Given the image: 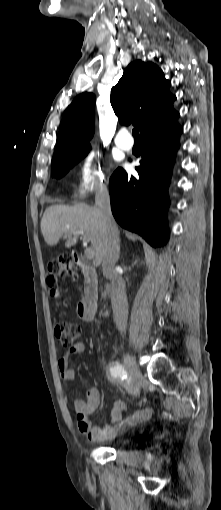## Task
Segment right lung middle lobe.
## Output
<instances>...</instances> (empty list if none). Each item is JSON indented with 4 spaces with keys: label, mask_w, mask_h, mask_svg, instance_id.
<instances>
[{
    "label": "right lung middle lobe",
    "mask_w": 221,
    "mask_h": 510,
    "mask_svg": "<svg viewBox=\"0 0 221 510\" xmlns=\"http://www.w3.org/2000/svg\"><path fill=\"white\" fill-rule=\"evenodd\" d=\"M90 151V146L72 149L52 159V176L57 178L65 175L71 167L77 164Z\"/></svg>",
    "instance_id": "dd1d6c3e"
}]
</instances>
